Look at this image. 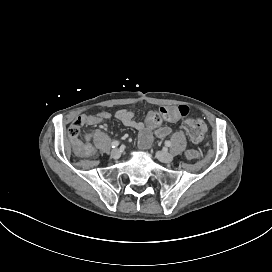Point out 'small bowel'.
<instances>
[{
	"label": "small bowel",
	"mask_w": 272,
	"mask_h": 272,
	"mask_svg": "<svg viewBox=\"0 0 272 272\" xmlns=\"http://www.w3.org/2000/svg\"><path fill=\"white\" fill-rule=\"evenodd\" d=\"M151 114H158V113L150 112L148 115H151ZM160 115L166 122H169V123H175L179 120V116L174 111L173 107H162L160 109ZM110 117H111V113L107 111H99L94 114H81L77 116L74 121H81L84 125L93 126V125L101 124L102 122L109 119ZM115 117L123 125L138 131V142L142 148H146L149 145L151 137H152L151 130L160 124L159 123L158 125H152V124H149L147 121L146 123L142 121H138L135 119V114L132 111L126 110V109L118 110L115 113ZM171 132H172L171 127L164 125V126H159L155 130V135L158 138L163 139L169 136ZM70 139H71V142L75 146H77L78 144H82L78 138L70 137ZM84 145L90 146L89 144H84ZM190 155L194 156L195 152H191Z\"/></svg>",
	"instance_id": "small-bowel-1"
}]
</instances>
